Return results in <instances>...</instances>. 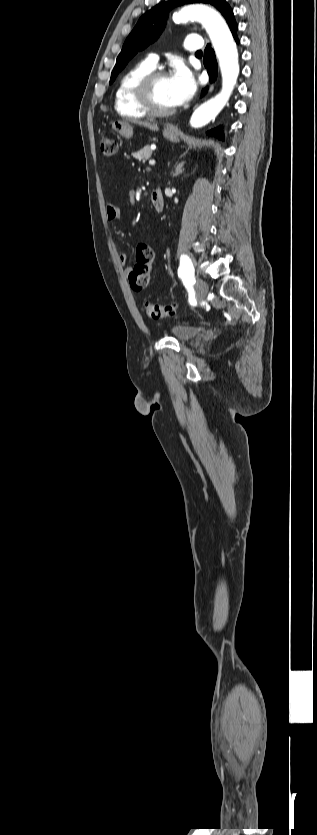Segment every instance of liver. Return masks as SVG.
Segmentation results:
<instances>
[{
    "mask_svg": "<svg viewBox=\"0 0 317 835\" xmlns=\"http://www.w3.org/2000/svg\"><path fill=\"white\" fill-rule=\"evenodd\" d=\"M137 124L139 126L148 128L149 130H152V131H158L159 130L157 124H151V123L145 122V121H139V122H137Z\"/></svg>",
    "mask_w": 317,
    "mask_h": 835,
    "instance_id": "1",
    "label": "liver"
}]
</instances>
